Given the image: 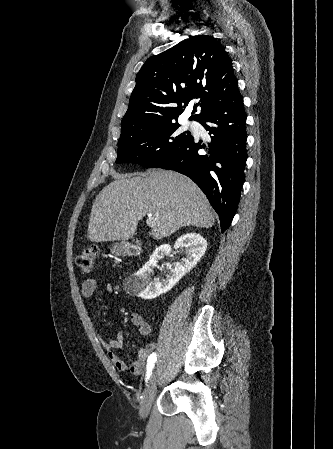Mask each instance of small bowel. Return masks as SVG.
I'll return each instance as SVG.
<instances>
[{
	"mask_svg": "<svg viewBox=\"0 0 333 449\" xmlns=\"http://www.w3.org/2000/svg\"><path fill=\"white\" fill-rule=\"evenodd\" d=\"M97 286V281L93 278L84 280L81 286L83 296L87 298L94 296ZM130 319L131 323L137 328L141 335L148 336L151 334L152 328L141 314L132 313ZM100 342L107 352L110 363L117 370L128 371L133 376H139L142 374L149 356L154 353L157 347V343L155 341L148 342L144 347L138 350L137 359L130 365H127L125 361L116 353V349L123 346V332H117L115 338L113 339L105 340L100 338Z\"/></svg>",
	"mask_w": 333,
	"mask_h": 449,
	"instance_id": "obj_1",
	"label": "small bowel"
}]
</instances>
